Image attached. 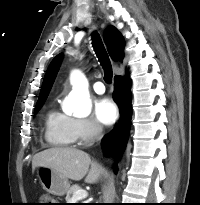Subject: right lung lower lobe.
<instances>
[{
	"label": "right lung lower lobe",
	"mask_w": 200,
	"mask_h": 205,
	"mask_svg": "<svg viewBox=\"0 0 200 205\" xmlns=\"http://www.w3.org/2000/svg\"><path fill=\"white\" fill-rule=\"evenodd\" d=\"M113 99L119 105L121 119L114 129L103 139L102 146L106 154H117L120 158L126 146L131 122V94L128 78L115 76ZM117 171V168H114Z\"/></svg>",
	"instance_id": "obj_1"
}]
</instances>
